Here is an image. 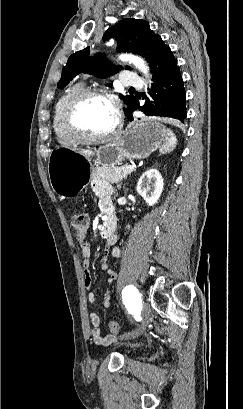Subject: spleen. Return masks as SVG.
Wrapping results in <instances>:
<instances>
[{"instance_id": "obj_1", "label": "spleen", "mask_w": 243, "mask_h": 409, "mask_svg": "<svg viewBox=\"0 0 243 409\" xmlns=\"http://www.w3.org/2000/svg\"><path fill=\"white\" fill-rule=\"evenodd\" d=\"M176 144H177V139L174 133L170 129H167L165 141L162 147L160 148V152L163 154L168 153L175 148Z\"/></svg>"}]
</instances>
